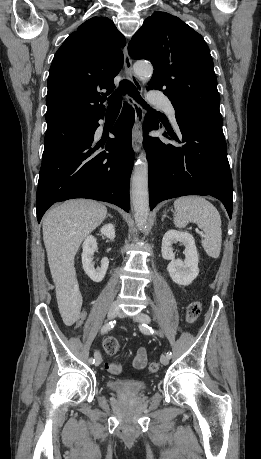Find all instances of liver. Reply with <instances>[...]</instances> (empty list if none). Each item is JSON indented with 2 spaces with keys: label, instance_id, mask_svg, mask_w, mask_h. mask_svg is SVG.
I'll return each mask as SVG.
<instances>
[{
  "label": "liver",
  "instance_id": "liver-1",
  "mask_svg": "<svg viewBox=\"0 0 261 459\" xmlns=\"http://www.w3.org/2000/svg\"><path fill=\"white\" fill-rule=\"evenodd\" d=\"M107 208L87 199L68 200L51 209L43 219V240L62 316L73 323L79 312L80 294L74 267L83 240L106 218Z\"/></svg>",
  "mask_w": 261,
  "mask_h": 459
}]
</instances>
